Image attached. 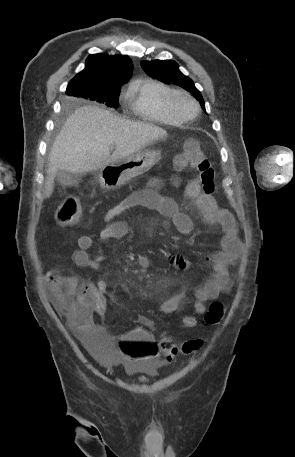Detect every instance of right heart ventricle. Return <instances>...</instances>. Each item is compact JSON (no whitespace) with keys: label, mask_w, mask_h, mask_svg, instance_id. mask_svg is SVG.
<instances>
[{"label":"right heart ventricle","mask_w":295,"mask_h":457,"mask_svg":"<svg viewBox=\"0 0 295 457\" xmlns=\"http://www.w3.org/2000/svg\"><path fill=\"white\" fill-rule=\"evenodd\" d=\"M172 91L170 86L158 80L134 81L125 93V103L130 111L141 120L178 125L182 121L170 111L167 103V97Z\"/></svg>","instance_id":"right-heart-ventricle-1"}]
</instances>
